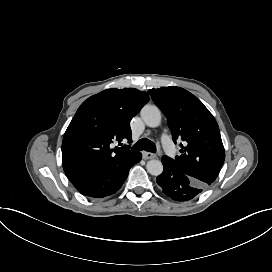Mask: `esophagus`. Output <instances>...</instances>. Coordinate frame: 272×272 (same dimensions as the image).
I'll return each instance as SVG.
<instances>
[{
	"label": "esophagus",
	"instance_id": "esophagus-1",
	"mask_svg": "<svg viewBox=\"0 0 272 272\" xmlns=\"http://www.w3.org/2000/svg\"><path fill=\"white\" fill-rule=\"evenodd\" d=\"M142 157L145 160H147V159H154V158H156V154L151 153V152H145V151H143L142 152Z\"/></svg>",
	"mask_w": 272,
	"mask_h": 272
}]
</instances>
